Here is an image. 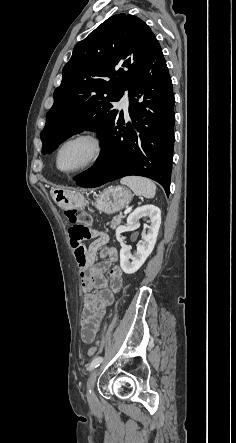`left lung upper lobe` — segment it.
I'll return each mask as SVG.
<instances>
[{
  "label": "left lung upper lobe",
  "instance_id": "left-lung-upper-lobe-1",
  "mask_svg": "<svg viewBox=\"0 0 236 443\" xmlns=\"http://www.w3.org/2000/svg\"><path fill=\"white\" fill-rule=\"evenodd\" d=\"M158 43L149 26L117 14L77 43L41 132L42 153L84 130L101 136L118 115L111 102L128 90Z\"/></svg>",
  "mask_w": 236,
  "mask_h": 443
}]
</instances>
